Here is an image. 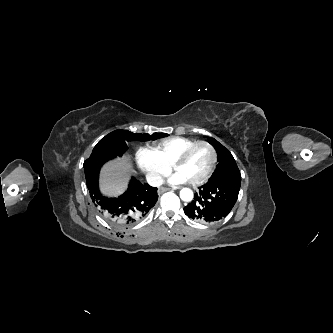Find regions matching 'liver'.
Masks as SVG:
<instances>
[{
	"label": "liver",
	"mask_w": 333,
	"mask_h": 333,
	"mask_svg": "<svg viewBox=\"0 0 333 333\" xmlns=\"http://www.w3.org/2000/svg\"><path fill=\"white\" fill-rule=\"evenodd\" d=\"M134 172L129 157L123 156L107 162L101 169V191L109 196H117L124 192L129 176Z\"/></svg>",
	"instance_id": "liver-1"
}]
</instances>
